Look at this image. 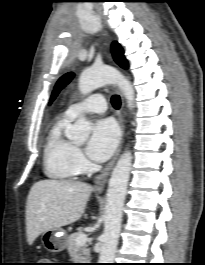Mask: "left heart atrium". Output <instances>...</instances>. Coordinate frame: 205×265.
<instances>
[{
	"mask_svg": "<svg viewBox=\"0 0 205 265\" xmlns=\"http://www.w3.org/2000/svg\"><path fill=\"white\" fill-rule=\"evenodd\" d=\"M118 141L119 129L116 123L110 118L100 119L93 126L87 154L92 160L103 162L112 155Z\"/></svg>",
	"mask_w": 205,
	"mask_h": 265,
	"instance_id": "1",
	"label": "left heart atrium"
}]
</instances>
